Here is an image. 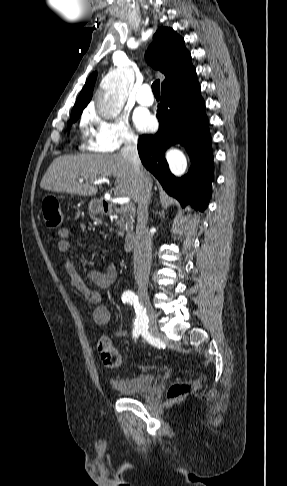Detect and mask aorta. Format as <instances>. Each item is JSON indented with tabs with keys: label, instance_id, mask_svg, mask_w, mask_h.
Instances as JSON below:
<instances>
[{
	"label": "aorta",
	"instance_id": "1",
	"mask_svg": "<svg viewBox=\"0 0 287 486\" xmlns=\"http://www.w3.org/2000/svg\"><path fill=\"white\" fill-rule=\"evenodd\" d=\"M131 79L126 72H114L102 84L97 101V110L106 118L116 117L122 110L131 90ZM171 172L182 175L186 170L184 160H177L170 166Z\"/></svg>",
	"mask_w": 287,
	"mask_h": 486
}]
</instances>
